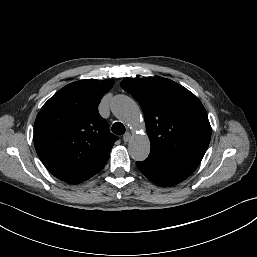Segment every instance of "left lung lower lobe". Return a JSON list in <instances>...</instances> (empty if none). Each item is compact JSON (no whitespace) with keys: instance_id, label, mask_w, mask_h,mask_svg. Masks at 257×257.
Segmentation results:
<instances>
[{"instance_id":"obj_1","label":"left lung lower lobe","mask_w":257,"mask_h":257,"mask_svg":"<svg viewBox=\"0 0 257 257\" xmlns=\"http://www.w3.org/2000/svg\"><path fill=\"white\" fill-rule=\"evenodd\" d=\"M200 161L197 159L163 160L148 157L145 161L136 162V166L152 182L162 186H172L189 177Z\"/></svg>"}]
</instances>
